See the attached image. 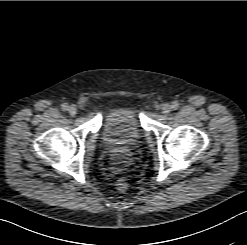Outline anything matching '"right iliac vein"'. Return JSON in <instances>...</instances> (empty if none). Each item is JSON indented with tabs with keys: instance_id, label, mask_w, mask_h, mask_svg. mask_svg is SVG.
I'll return each instance as SVG.
<instances>
[{
	"instance_id": "63e3f726",
	"label": "right iliac vein",
	"mask_w": 247,
	"mask_h": 245,
	"mask_svg": "<svg viewBox=\"0 0 247 245\" xmlns=\"http://www.w3.org/2000/svg\"><path fill=\"white\" fill-rule=\"evenodd\" d=\"M68 112L71 116H75L77 114V108L75 105H71L68 107Z\"/></svg>"
}]
</instances>
